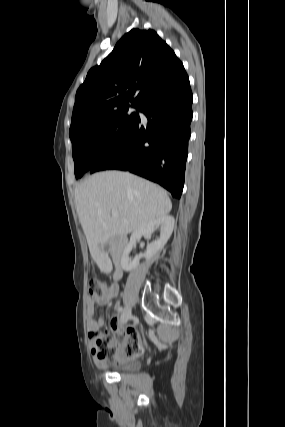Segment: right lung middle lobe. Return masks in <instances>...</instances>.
Instances as JSON below:
<instances>
[{"label":"right lung middle lobe","instance_id":"1","mask_svg":"<svg viewBox=\"0 0 285 427\" xmlns=\"http://www.w3.org/2000/svg\"><path fill=\"white\" fill-rule=\"evenodd\" d=\"M140 110L139 105H131ZM139 115L129 106L89 122L69 133L76 178L101 163L128 136Z\"/></svg>","mask_w":285,"mask_h":427}]
</instances>
